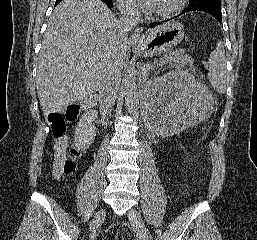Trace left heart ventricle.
<instances>
[{
    "label": "left heart ventricle",
    "instance_id": "left-heart-ventricle-1",
    "mask_svg": "<svg viewBox=\"0 0 257 240\" xmlns=\"http://www.w3.org/2000/svg\"><path fill=\"white\" fill-rule=\"evenodd\" d=\"M173 0H159L156 10H161L169 7L172 4Z\"/></svg>",
    "mask_w": 257,
    "mask_h": 240
}]
</instances>
